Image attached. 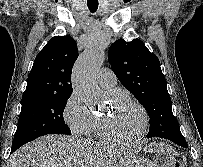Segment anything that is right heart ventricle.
<instances>
[{
  "label": "right heart ventricle",
  "instance_id": "1",
  "mask_svg": "<svg viewBox=\"0 0 203 167\" xmlns=\"http://www.w3.org/2000/svg\"><path fill=\"white\" fill-rule=\"evenodd\" d=\"M91 133H96L99 136H102L101 129H100V123H99V117H97V116H94Z\"/></svg>",
  "mask_w": 203,
  "mask_h": 167
}]
</instances>
